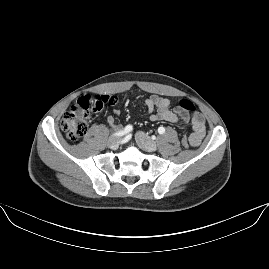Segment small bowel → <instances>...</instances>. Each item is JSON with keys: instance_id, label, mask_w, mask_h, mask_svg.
I'll return each instance as SVG.
<instances>
[{"instance_id": "small-bowel-1", "label": "small bowel", "mask_w": 269, "mask_h": 269, "mask_svg": "<svg viewBox=\"0 0 269 269\" xmlns=\"http://www.w3.org/2000/svg\"><path fill=\"white\" fill-rule=\"evenodd\" d=\"M143 104L146 106L149 119L152 122L190 123L193 128V132L190 135V144L194 147L200 145L205 135V121L200 113L196 112L189 116L188 113L182 112L180 109L172 111L170 109V100L156 95L144 99ZM119 114L120 111L115 110L113 115H109L106 118L107 125L112 128L116 127V116Z\"/></svg>"}]
</instances>
